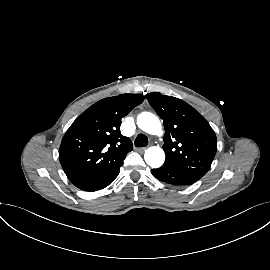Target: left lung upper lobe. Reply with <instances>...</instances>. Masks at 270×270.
Returning a JSON list of instances; mask_svg holds the SVG:
<instances>
[{
	"label": "left lung upper lobe",
	"instance_id": "left-lung-upper-lobe-1",
	"mask_svg": "<svg viewBox=\"0 0 270 270\" xmlns=\"http://www.w3.org/2000/svg\"><path fill=\"white\" fill-rule=\"evenodd\" d=\"M149 104L163 119L164 166L179 168L201 178L210 169L217 150L216 135L193 107L181 99L158 92L146 94Z\"/></svg>",
	"mask_w": 270,
	"mask_h": 270
}]
</instances>
